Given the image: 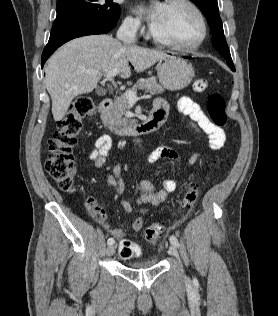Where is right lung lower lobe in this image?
I'll list each match as a JSON object with an SVG mask.
<instances>
[{
    "mask_svg": "<svg viewBox=\"0 0 278 316\" xmlns=\"http://www.w3.org/2000/svg\"><path fill=\"white\" fill-rule=\"evenodd\" d=\"M117 24V21H92L77 24L67 28H63L51 32L48 44L43 50L41 67L51 54L65 42L80 36L104 34L112 30Z\"/></svg>",
    "mask_w": 278,
    "mask_h": 316,
    "instance_id": "obj_1",
    "label": "right lung lower lobe"
}]
</instances>
